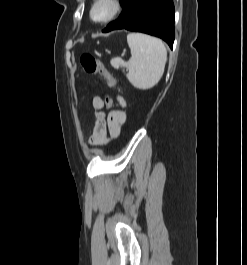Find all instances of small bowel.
<instances>
[{
    "label": "small bowel",
    "mask_w": 247,
    "mask_h": 265,
    "mask_svg": "<svg viewBox=\"0 0 247 265\" xmlns=\"http://www.w3.org/2000/svg\"><path fill=\"white\" fill-rule=\"evenodd\" d=\"M117 100L122 108L126 107L123 97L118 96ZM91 105L96 112V121L89 141L92 145H103L107 143L109 137L116 138L120 134L127 116L124 109L113 110L106 115L104 112V99L100 96H95L92 99Z\"/></svg>",
    "instance_id": "small-bowel-1"
}]
</instances>
